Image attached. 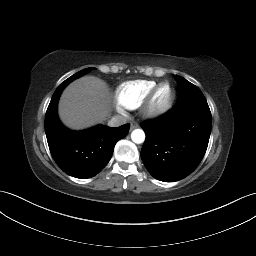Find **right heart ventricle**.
Returning a JSON list of instances; mask_svg holds the SVG:
<instances>
[{
    "mask_svg": "<svg viewBox=\"0 0 256 256\" xmlns=\"http://www.w3.org/2000/svg\"><path fill=\"white\" fill-rule=\"evenodd\" d=\"M157 85L152 80H135L121 84L116 90V103L122 109H135Z\"/></svg>",
    "mask_w": 256,
    "mask_h": 256,
    "instance_id": "obj_1",
    "label": "right heart ventricle"
}]
</instances>
